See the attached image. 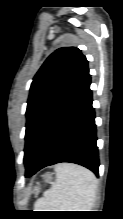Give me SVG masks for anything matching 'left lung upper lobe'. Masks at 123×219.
Wrapping results in <instances>:
<instances>
[{
	"mask_svg": "<svg viewBox=\"0 0 123 219\" xmlns=\"http://www.w3.org/2000/svg\"><path fill=\"white\" fill-rule=\"evenodd\" d=\"M88 73V61L75 47L57 49L36 73L27 101L25 165L52 114Z\"/></svg>",
	"mask_w": 123,
	"mask_h": 219,
	"instance_id": "left-lung-upper-lobe-1",
	"label": "left lung upper lobe"
}]
</instances>
